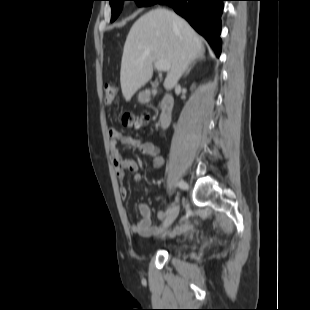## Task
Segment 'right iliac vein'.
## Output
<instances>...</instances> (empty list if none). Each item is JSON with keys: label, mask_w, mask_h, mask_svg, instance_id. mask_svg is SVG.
<instances>
[{"label": "right iliac vein", "mask_w": 310, "mask_h": 310, "mask_svg": "<svg viewBox=\"0 0 310 310\" xmlns=\"http://www.w3.org/2000/svg\"><path fill=\"white\" fill-rule=\"evenodd\" d=\"M179 206H176L171 212L170 214L165 218V220L162 223V226L160 228V232L165 231L166 229H168L172 223L176 220L178 214H179Z\"/></svg>", "instance_id": "1"}]
</instances>
